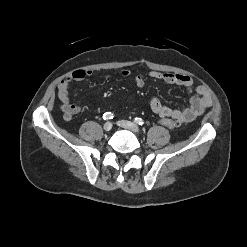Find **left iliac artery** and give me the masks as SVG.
Returning a JSON list of instances; mask_svg holds the SVG:
<instances>
[{"label": "left iliac artery", "mask_w": 247, "mask_h": 247, "mask_svg": "<svg viewBox=\"0 0 247 247\" xmlns=\"http://www.w3.org/2000/svg\"><path fill=\"white\" fill-rule=\"evenodd\" d=\"M134 122L137 123L138 125H143L144 124V121L141 119V118H134Z\"/></svg>", "instance_id": "1"}]
</instances>
